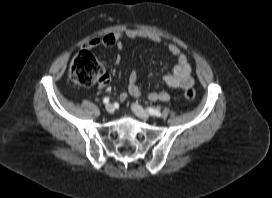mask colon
Segmentation results:
<instances>
[{"label":"colon","instance_id":"colon-1","mask_svg":"<svg viewBox=\"0 0 272 198\" xmlns=\"http://www.w3.org/2000/svg\"><path fill=\"white\" fill-rule=\"evenodd\" d=\"M104 75V68L96 57L88 50L78 52L70 65L68 77L70 81L78 86H91L101 80ZM195 91L187 89L183 96L187 101L195 99Z\"/></svg>","mask_w":272,"mask_h":198}]
</instances>
